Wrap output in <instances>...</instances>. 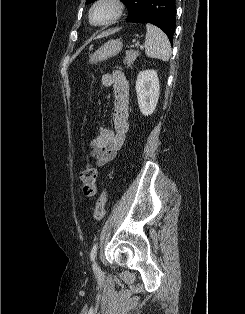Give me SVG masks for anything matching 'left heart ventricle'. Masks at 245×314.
<instances>
[{
  "instance_id": "b2bd125f",
  "label": "left heart ventricle",
  "mask_w": 245,
  "mask_h": 314,
  "mask_svg": "<svg viewBox=\"0 0 245 314\" xmlns=\"http://www.w3.org/2000/svg\"><path fill=\"white\" fill-rule=\"evenodd\" d=\"M113 14V8L109 4L99 5L93 12L92 18L96 23H103L107 21Z\"/></svg>"
}]
</instances>
